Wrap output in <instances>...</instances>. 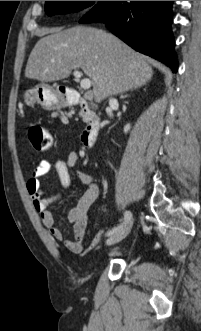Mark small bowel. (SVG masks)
Masks as SVG:
<instances>
[{"instance_id": "small-bowel-1", "label": "small bowel", "mask_w": 201, "mask_h": 331, "mask_svg": "<svg viewBox=\"0 0 201 331\" xmlns=\"http://www.w3.org/2000/svg\"><path fill=\"white\" fill-rule=\"evenodd\" d=\"M79 155L75 152L69 153L65 158L54 163L48 160H41L34 168L29 177L26 188L32 200L35 210L39 213L42 223L50 231L51 235L58 241H62L67 250L73 254L85 255L91 252L100 242L102 233H98L92 243L85 247L84 238L88 222V211L99 196V188L90 172H81L78 178L86 186V190L79 198L75 207L71 208L65 219L73 226V239H65L60 228L56 226L55 217L49 210V206L62 197V193L46 196L40 179L49 174L56 173L62 187L69 190L71 187V176L69 169L79 162Z\"/></svg>"}]
</instances>
